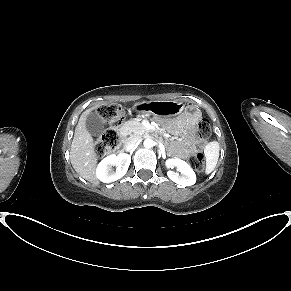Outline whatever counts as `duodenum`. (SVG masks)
<instances>
[{"mask_svg": "<svg viewBox=\"0 0 291 291\" xmlns=\"http://www.w3.org/2000/svg\"><path fill=\"white\" fill-rule=\"evenodd\" d=\"M126 145H127V140L124 137H122V139L119 141L117 146L112 149V152L114 154H119L124 150Z\"/></svg>", "mask_w": 291, "mask_h": 291, "instance_id": "duodenum-1", "label": "duodenum"}]
</instances>
